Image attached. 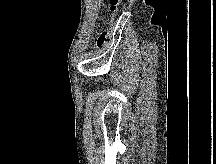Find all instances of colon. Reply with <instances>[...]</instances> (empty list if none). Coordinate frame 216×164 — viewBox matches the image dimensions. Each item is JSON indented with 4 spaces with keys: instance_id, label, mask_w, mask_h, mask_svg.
<instances>
[{
    "instance_id": "obj_1",
    "label": "colon",
    "mask_w": 216,
    "mask_h": 164,
    "mask_svg": "<svg viewBox=\"0 0 216 164\" xmlns=\"http://www.w3.org/2000/svg\"><path fill=\"white\" fill-rule=\"evenodd\" d=\"M123 0H109L110 2V22L109 26L106 29L101 30L98 33L97 36V47L98 48H103L105 44L108 42L110 34L112 32V26L114 23V20L117 17L118 14V9Z\"/></svg>"
}]
</instances>
